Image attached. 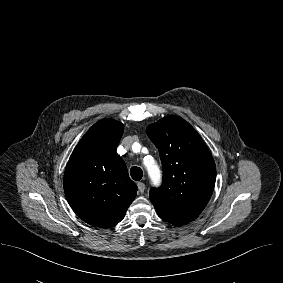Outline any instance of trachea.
Returning <instances> with one entry per match:
<instances>
[{
  "label": "trachea",
  "mask_w": 283,
  "mask_h": 283,
  "mask_svg": "<svg viewBox=\"0 0 283 283\" xmlns=\"http://www.w3.org/2000/svg\"><path fill=\"white\" fill-rule=\"evenodd\" d=\"M130 175H131L133 180L139 181V180H141V178L143 176V171L140 167L134 166L130 170Z\"/></svg>",
  "instance_id": "obj_1"
}]
</instances>
